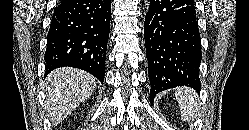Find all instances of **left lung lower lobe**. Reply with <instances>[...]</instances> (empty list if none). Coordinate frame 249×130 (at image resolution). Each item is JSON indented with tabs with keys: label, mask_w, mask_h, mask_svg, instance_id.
Returning <instances> with one entry per match:
<instances>
[{
	"label": "left lung lower lobe",
	"mask_w": 249,
	"mask_h": 130,
	"mask_svg": "<svg viewBox=\"0 0 249 130\" xmlns=\"http://www.w3.org/2000/svg\"><path fill=\"white\" fill-rule=\"evenodd\" d=\"M150 101L177 86L200 90L201 38L192 0H150L144 24Z\"/></svg>",
	"instance_id": "left-lung-lower-lobe-1"
}]
</instances>
